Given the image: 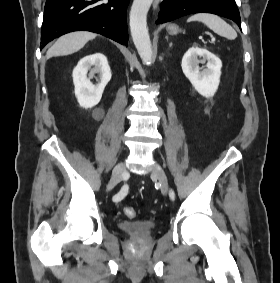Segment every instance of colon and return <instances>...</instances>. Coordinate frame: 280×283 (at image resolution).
Wrapping results in <instances>:
<instances>
[{"mask_svg":"<svg viewBox=\"0 0 280 283\" xmlns=\"http://www.w3.org/2000/svg\"><path fill=\"white\" fill-rule=\"evenodd\" d=\"M124 214L128 218H134L136 216V211L131 207H126V208H124Z\"/></svg>","mask_w":280,"mask_h":283,"instance_id":"1","label":"colon"}]
</instances>
